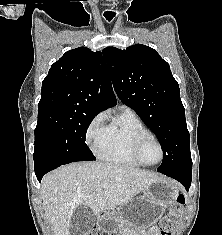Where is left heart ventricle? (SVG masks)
<instances>
[{"instance_id": "left-heart-ventricle-1", "label": "left heart ventricle", "mask_w": 222, "mask_h": 235, "mask_svg": "<svg viewBox=\"0 0 222 235\" xmlns=\"http://www.w3.org/2000/svg\"><path fill=\"white\" fill-rule=\"evenodd\" d=\"M142 158L147 163H156L160 159V149L156 142L150 140L143 146Z\"/></svg>"}]
</instances>
